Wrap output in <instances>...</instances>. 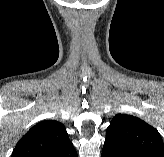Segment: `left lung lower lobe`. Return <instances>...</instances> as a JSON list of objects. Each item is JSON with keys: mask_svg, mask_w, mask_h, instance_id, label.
I'll use <instances>...</instances> for the list:
<instances>
[{"mask_svg": "<svg viewBox=\"0 0 164 157\" xmlns=\"http://www.w3.org/2000/svg\"><path fill=\"white\" fill-rule=\"evenodd\" d=\"M101 157H132L120 148L105 140Z\"/></svg>", "mask_w": 164, "mask_h": 157, "instance_id": "1", "label": "left lung lower lobe"}]
</instances>
